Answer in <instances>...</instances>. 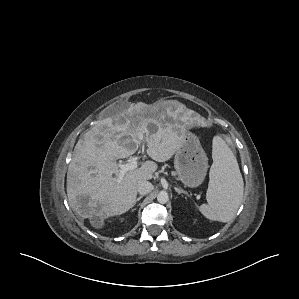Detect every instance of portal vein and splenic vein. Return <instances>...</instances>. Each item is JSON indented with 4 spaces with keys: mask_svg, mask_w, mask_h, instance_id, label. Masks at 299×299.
Here are the masks:
<instances>
[{
    "mask_svg": "<svg viewBox=\"0 0 299 299\" xmlns=\"http://www.w3.org/2000/svg\"><path fill=\"white\" fill-rule=\"evenodd\" d=\"M141 142L144 141L143 137H140ZM119 172L117 174V178L116 181L117 183H121L124 175L131 170H134L138 167V162H137V158H133L130 160V162L126 163V164H118Z\"/></svg>",
    "mask_w": 299,
    "mask_h": 299,
    "instance_id": "obj_1",
    "label": "portal vein and splenic vein"
}]
</instances>
